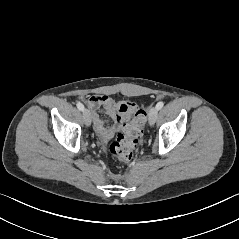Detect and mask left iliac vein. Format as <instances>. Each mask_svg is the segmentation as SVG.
<instances>
[{"mask_svg": "<svg viewBox=\"0 0 239 239\" xmlns=\"http://www.w3.org/2000/svg\"><path fill=\"white\" fill-rule=\"evenodd\" d=\"M157 115H158V109L156 107H152L149 111V117H148V121L151 126L154 125V123L156 122Z\"/></svg>", "mask_w": 239, "mask_h": 239, "instance_id": "obj_1", "label": "left iliac vein"}]
</instances>
